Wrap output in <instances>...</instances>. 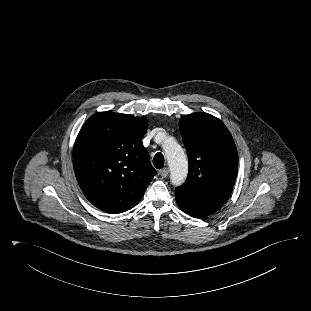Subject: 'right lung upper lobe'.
<instances>
[{"label": "right lung upper lobe", "instance_id": "right-lung-upper-lobe-1", "mask_svg": "<svg viewBox=\"0 0 311 311\" xmlns=\"http://www.w3.org/2000/svg\"><path fill=\"white\" fill-rule=\"evenodd\" d=\"M145 117L98 112L80 129L73 167L85 197L100 210L118 214L142 198L156 170L142 144Z\"/></svg>", "mask_w": 311, "mask_h": 311}]
</instances>
